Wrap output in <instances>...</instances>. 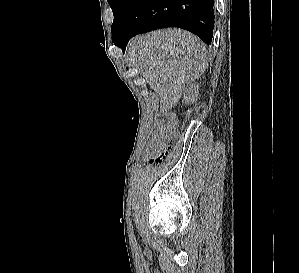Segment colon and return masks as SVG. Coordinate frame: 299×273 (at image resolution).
Segmentation results:
<instances>
[{"instance_id":"colon-1","label":"colon","mask_w":299,"mask_h":273,"mask_svg":"<svg viewBox=\"0 0 299 273\" xmlns=\"http://www.w3.org/2000/svg\"><path fill=\"white\" fill-rule=\"evenodd\" d=\"M177 132L174 119L158 122L149 139L147 157L150 163H158L168 155Z\"/></svg>"}]
</instances>
